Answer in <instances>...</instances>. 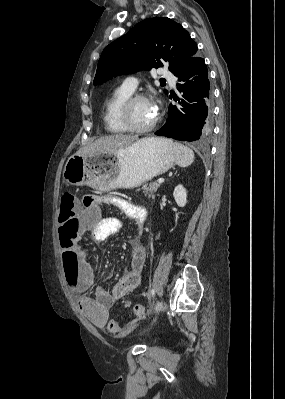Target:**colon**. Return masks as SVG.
Masks as SVG:
<instances>
[{"mask_svg": "<svg viewBox=\"0 0 285 399\" xmlns=\"http://www.w3.org/2000/svg\"><path fill=\"white\" fill-rule=\"evenodd\" d=\"M97 201V197L89 196L85 199V205H91ZM78 206V199L73 193H66L63 195L60 207L59 221L63 228L70 230L72 233L77 232V224L67 222L68 218L74 212V209ZM82 251L76 245H73L70 249L66 250L63 254V268L64 273L68 281L70 282L71 289L76 291L77 287L74 285L77 282V277L80 273V260ZM145 312L142 305H135L132 308V313L135 317H140ZM121 327L125 326L124 323H120L114 320Z\"/></svg>", "mask_w": 285, "mask_h": 399, "instance_id": "colon-1", "label": "colon"}]
</instances>
